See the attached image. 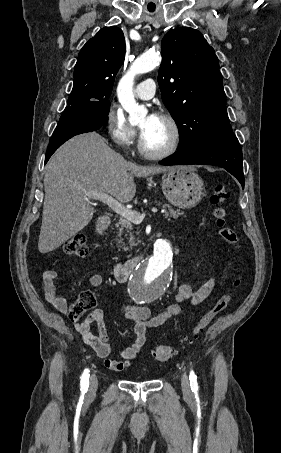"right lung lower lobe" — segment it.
I'll use <instances>...</instances> for the list:
<instances>
[{
  "instance_id": "obj_1",
  "label": "right lung lower lobe",
  "mask_w": 281,
  "mask_h": 453,
  "mask_svg": "<svg viewBox=\"0 0 281 453\" xmlns=\"http://www.w3.org/2000/svg\"><path fill=\"white\" fill-rule=\"evenodd\" d=\"M110 103H84L76 106H67L50 139L45 164L51 155L65 141L71 137L99 129L107 122Z\"/></svg>"
}]
</instances>
